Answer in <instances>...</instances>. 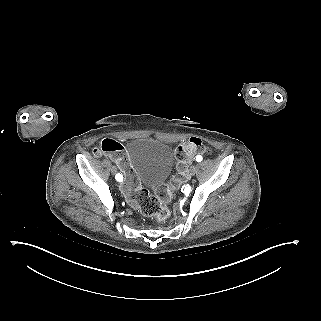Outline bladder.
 <instances>
[{
  "mask_svg": "<svg viewBox=\"0 0 321 321\" xmlns=\"http://www.w3.org/2000/svg\"><path fill=\"white\" fill-rule=\"evenodd\" d=\"M127 154L138 179L151 188L161 185L173 164L171 147L155 138L142 137L131 140L127 145Z\"/></svg>",
  "mask_w": 321,
  "mask_h": 321,
  "instance_id": "bladder-1",
  "label": "bladder"
}]
</instances>
